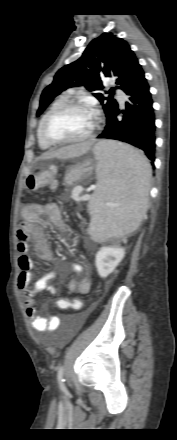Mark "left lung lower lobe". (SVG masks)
I'll list each match as a JSON object with an SVG mask.
<instances>
[{
  "mask_svg": "<svg viewBox=\"0 0 177 440\" xmlns=\"http://www.w3.org/2000/svg\"><path fill=\"white\" fill-rule=\"evenodd\" d=\"M128 96L123 118L118 119L117 108L107 117L104 131L97 138L114 139L140 149L154 166L155 115L149 85L143 70L124 91Z\"/></svg>",
  "mask_w": 177,
  "mask_h": 440,
  "instance_id": "left-lung-lower-lobe-1",
  "label": "left lung lower lobe"
}]
</instances>
